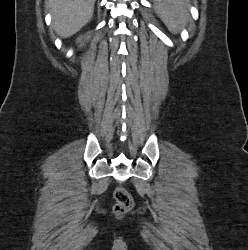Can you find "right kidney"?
<instances>
[{
	"label": "right kidney",
	"mask_w": 248,
	"mask_h": 250,
	"mask_svg": "<svg viewBox=\"0 0 248 250\" xmlns=\"http://www.w3.org/2000/svg\"><path fill=\"white\" fill-rule=\"evenodd\" d=\"M85 38V37H84ZM82 42H83V36H80L78 39H77V43H80V45H82Z\"/></svg>",
	"instance_id": "ca27d5eb"
}]
</instances>
